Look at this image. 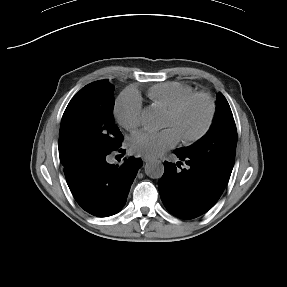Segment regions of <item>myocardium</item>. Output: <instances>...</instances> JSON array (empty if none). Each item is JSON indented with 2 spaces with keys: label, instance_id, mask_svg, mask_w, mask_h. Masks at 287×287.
<instances>
[{
  "label": "myocardium",
  "instance_id": "obj_1",
  "mask_svg": "<svg viewBox=\"0 0 287 287\" xmlns=\"http://www.w3.org/2000/svg\"><path fill=\"white\" fill-rule=\"evenodd\" d=\"M200 99L204 102L207 108L206 120L203 127L195 134L190 136L180 137L181 141L185 145L193 144L199 140H201L210 130L214 115H215V105L212 98L205 92H193L190 95L183 98L179 101L175 106H173L170 110L167 111V115L177 116L180 114L191 102L194 100Z\"/></svg>",
  "mask_w": 287,
  "mask_h": 287
}]
</instances>
